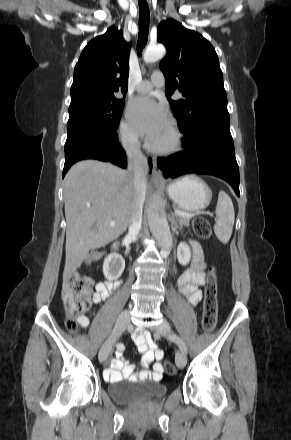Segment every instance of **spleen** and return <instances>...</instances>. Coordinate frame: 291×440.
Instances as JSON below:
<instances>
[{
	"label": "spleen",
	"instance_id": "3e777b00",
	"mask_svg": "<svg viewBox=\"0 0 291 440\" xmlns=\"http://www.w3.org/2000/svg\"><path fill=\"white\" fill-rule=\"evenodd\" d=\"M217 220L214 225V232L221 243L226 244L232 234L235 212L231 198L229 195L220 191L216 205Z\"/></svg>",
	"mask_w": 291,
	"mask_h": 440
}]
</instances>
